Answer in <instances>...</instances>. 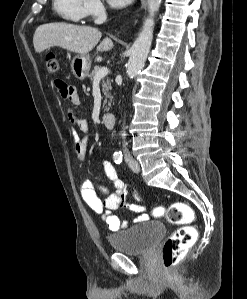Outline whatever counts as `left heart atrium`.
Instances as JSON below:
<instances>
[{
    "mask_svg": "<svg viewBox=\"0 0 247 299\" xmlns=\"http://www.w3.org/2000/svg\"><path fill=\"white\" fill-rule=\"evenodd\" d=\"M131 1L132 0H107V2L114 7H123Z\"/></svg>",
    "mask_w": 247,
    "mask_h": 299,
    "instance_id": "1",
    "label": "left heart atrium"
}]
</instances>
